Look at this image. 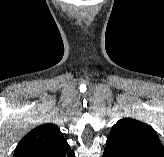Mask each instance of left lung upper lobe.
Wrapping results in <instances>:
<instances>
[{"label": "left lung upper lobe", "instance_id": "5c2ea615", "mask_svg": "<svg viewBox=\"0 0 164 157\" xmlns=\"http://www.w3.org/2000/svg\"><path fill=\"white\" fill-rule=\"evenodd\" d=\"M110 140L130 148L144 157H164V147L156 131L132 118L119 120L112 128Z\"/></svg>", "mask_w": 164, "mask_h": 157}]
</instances>
